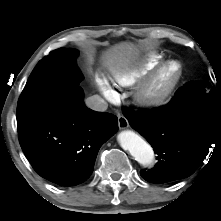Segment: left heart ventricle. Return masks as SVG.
Listing matches in <instances>:
<instances>
[{"label":"left heart ventricle","mask_w":221,"mask_h":221,"mask_svg":"<svg viewBox=\"0 0 221 221\" xmlns=\"http://www.w3.org/2000/svg\"><path fill=\"white\" fill-rule=\"evenodd\" d=\"M177 72V67L176 66H171L168 69H166L158 81L156 82V88L157 89H162L166 87L174 78L175 74Z\"/></svg>","instance_id":"b2bd125f"}]
</instances>
